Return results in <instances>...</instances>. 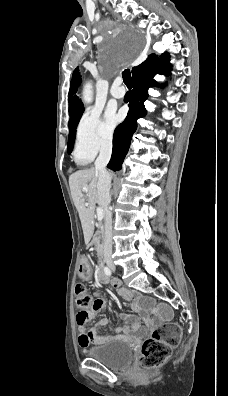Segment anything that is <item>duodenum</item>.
Returning <instances> with one entry per match:
<instances>
[{
    "label": "duodenum",
    "mask_w": 228,
    "mask_h": 396,
    "mask_svg": "<svg viewBox=\"0 0 228 396\" xmlns=\"http://www.w3.org/2000/svg\"><path fill=\"white\" fill-rule=\"evenodd\" d=\"M101 256H102V251L100 250L99 251V270H98V276H99V278H100V280H102V281H105V278H104V274H103V272H102V258H101Z\"/></svg>",
    "instance_id": "obj_1"
}]
</instances>
